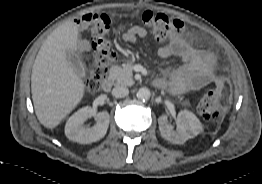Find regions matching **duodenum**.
Wrapping results in <instances>:
<instances>
[{
  "label": "duodenum",
  "instance_id": "obj_1",
  "mask_svg": "<svg viewBox=\"0 0 262 184\" xmlns=\"http://www.w3.org/2000/svg\"><path fill=\"white\" fill-rule=\"evenodd\" d=\"M113 80L111 77L105 78L101 83V88L105 92H109L112 88Z\"/></svg>",
  "mask_w": 262,
  "mask_h": 184
}]
</instances>
